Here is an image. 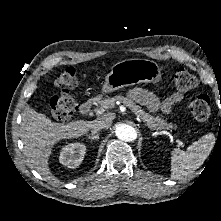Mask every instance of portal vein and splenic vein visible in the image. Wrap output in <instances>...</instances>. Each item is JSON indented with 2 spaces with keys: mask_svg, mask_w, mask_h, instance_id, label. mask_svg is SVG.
I'll use <instances>...</instances> for the list:
<instances>
[{
  "mask_svg": "<svg viewBox=\"0 0 221 221\" xmlns=\"http://www.w3.org/2000/svg\"><path fill=\"white\" fill-rule=\"evenodd\" d=\"M104 110H105V109L98 110V111H96V114H97V115H100V114H102V113L104 112ZM159 133H160V134L168 135L172 140H175V139L173 138V136L170 135L167 131H161V132H159ZM175 142L178 144V146L184 147V144H183L180 140L176 139Z\"/></svg>",
  "mask_w": 221,
  "mask_h": 221,
  "instance_id": "obj_1",
  "label": "portal vein and splenic vein"
}]
</instances>
